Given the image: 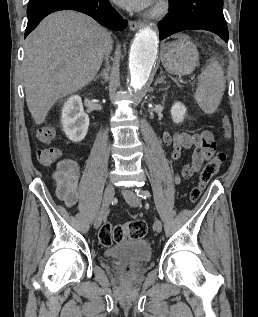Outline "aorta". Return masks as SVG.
Returning <instances> with one entry per match:
<instances>
[{
  "label": "aorta",
  "instance_id": "762f6f07",
  "mask_svg": "<svg viewBox=\"0 0 258 317\" xmlns=\"http://www.w3.org/2000/svg\"><path fill=\"white\" fill-rule=\"evenodd\" d=\"M158 51V36L155 30L145 27L132 43L129 56L130 85L140 90L148 81Z\"/></svg>",
  "mask_w": 258,
  "mask_h": 317
}]
</instances>
